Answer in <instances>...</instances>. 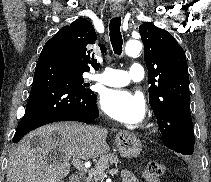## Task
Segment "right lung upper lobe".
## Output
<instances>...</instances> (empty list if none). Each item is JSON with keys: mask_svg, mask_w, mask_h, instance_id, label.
<instances>
[{"mask_svg": "<svg viewBox=\"0 0 211 182\" xmlns=\"http://www.w3.org/2000/svg\"><path fill=\"white\" fill-rule=\"evenodd\" d=\"M51 40L62 45L74 66L85 71L90 68L99 69L100 64L94 59L93 45L97 40L92 24L80 18L63 27Z\"/></svg>", "mask_w": 211, "mask_h": 182, "instance_id": "obj_1", "label": "right lung upper lobe"}]
</instances>
